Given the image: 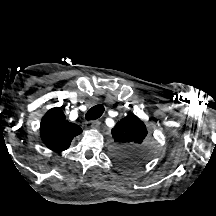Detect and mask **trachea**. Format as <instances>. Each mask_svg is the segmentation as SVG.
<instances>
[{
  "label": "trachea",
  "mask_w": 216,
  "mask_h": 216,
  "mask_svg": "<svg viewBox=\"0 0 216 216\" xmlns=\"http://www.w3.org/2000/svg\"><path fill=\"white\" fill-rule=\"evenodd\" d=\"M103 112H104V106L103 105L99 104V105L93 106L92 108H90L87 111V113L85 115V119L88 121L96 120V119L101 117Z\"/></svg>",
  "instance_id": "trachea-1"
}]
</instances>
